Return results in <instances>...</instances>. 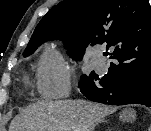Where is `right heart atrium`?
Returning <instances> with one entry per match:
<instances>
[{
    "label": "right heart atrium",
    "instance_id": "d8ad5b80",
    "mask_svg": "<svg viewBox=\"0 0 151 131\" xmlns=\"http://www.w3.org/2000/svg\"><path fill=\"white\" fill-rule=\"evenodd\" d=\"M36 83L39 93L47 98H60L70 91V64L56 49H50L41 57Z\"/></svg>",
    "mask_w": 151,
    "mask_h": 131
}]
</instances>
